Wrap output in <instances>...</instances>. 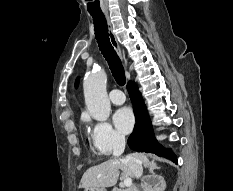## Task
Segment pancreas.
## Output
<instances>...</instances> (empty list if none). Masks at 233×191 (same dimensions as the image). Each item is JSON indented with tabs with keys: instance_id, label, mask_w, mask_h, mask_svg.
<instances>
[{
	"instance_id": "cf45deb5",
	"label": "pancreas",
	"mask_w": 233,
	"mask_h": 191,
	"mask_svg": "<svg viewBox=\"0 0 233 191\" xmlns=\"http://www.w3.org/2000/svg\"><path fill=\"white\" fill-rule=\"evenodd\" d=\"M112 191H137L134 188H127V189H121V188H114Z\"/></svg>"
}]
</instances>
